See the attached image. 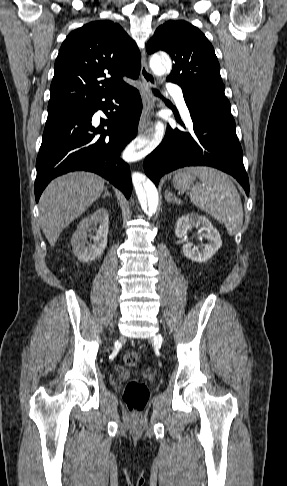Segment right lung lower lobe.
<instances>
[{
  "mask_svg": "<svg viewBox=\"0 0 287 486\" xmlns=\"http://www.w3.org/2000/svg\"><path fill=\"white\" fill-rule=\"evenodd\" d=\"M99 109L109 119L95 128L92 116ZM141 111L139 92L127 85L92 99L75 112L47 120L36 161V202L53 178L76 170L101 175L129 198L131 176L120 153L135 138Z\"/></svg>",
  "mask_w": 287,
  "mask_h": 486,
  "instance_id": "right-lung-lower-lobe-1",
  "label": "right lung lower lobe"
}]
</instances>
